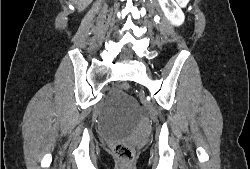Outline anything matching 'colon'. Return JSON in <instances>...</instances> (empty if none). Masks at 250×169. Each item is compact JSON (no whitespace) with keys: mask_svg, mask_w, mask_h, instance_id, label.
Here are the masks:
<instances>
[{"mask_svg":"<svg viewBox=\"0 0 250 169\" xmlns=\"http://www.w3.org/2000/svg\"><path fill=\"white\" fill-rule=\"evenodd\" d=\"M122 90L125 93H130V88L127 85H122ZM136 142V139H133ZM111 149L116 155L118 169H136V150L135 145H132V141H112Z\"/></svg>","mask_w":250,"mask_h":169,"instance_id":"colon-1","label":"colon"}]
</instances>
